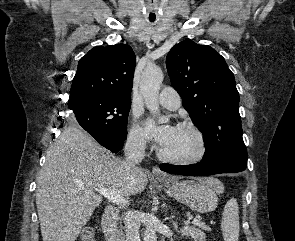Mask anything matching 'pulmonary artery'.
Listing matches in <instances>:
<instances>
[{
	"label": "pulmonary artery",
	"instance_id": "obj_1",
	"mask_svg": "<svg viewBox=\"0 0 295 241\" xmlns=\"http://www.w3.org/2000/svg\"><path fill=\"white\" fill-rule=\"evenodd\" d=\"M157 100L159 104L169 110H177L181 105L180 95L171 87L163 88L159 93Z\"/></svg>",
	"mask_w": 295,
	"mask_h": 241
}]
</instances>
